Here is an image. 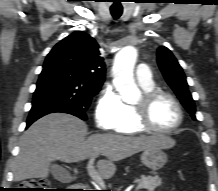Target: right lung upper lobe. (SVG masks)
Here are the masks:
<instances>
[{
	"label": "right lung upper lobe",
	"instance_id": "1",
	"mask_svg": "<svg viewBox=\"0 0 218 191\" xmlns=\"http://www.w3.org/2000/svg\"><path fill=\"white\" fill-rule=\"evenodd\" d=\"M45 63L64 67L95 84L102 85L105 79V63L99 46L83 31H76L57 43Z\"/></svg>",
	"mask_w": 218,
	"mask_h": 191
}]
</instances>
